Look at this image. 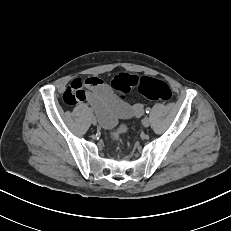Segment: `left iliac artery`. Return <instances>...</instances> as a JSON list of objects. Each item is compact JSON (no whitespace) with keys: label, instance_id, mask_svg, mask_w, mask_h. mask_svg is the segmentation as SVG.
I'll return each instance as SVG.
<instances>
[{"label":"left iliac artery","instance_id":"44dca946","mask_svg":"<svg viewBox=\"0 0 231 231\" xmlns=\"http://www.w3.org/2000/svg\"><path fill=\"white\" fill-rule=\"evenodd\" d=\"M150 111H151V109H150V108H146V113H147V114H149V113H150Z\"/></svg>","mask_w":231,"mask_h":231}]
</instances>
